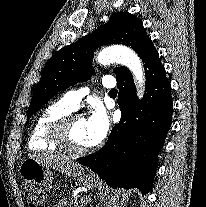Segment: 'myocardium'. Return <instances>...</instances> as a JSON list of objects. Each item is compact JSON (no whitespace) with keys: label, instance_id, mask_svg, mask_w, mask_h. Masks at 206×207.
I'll return each instance as SVG.
<instances>
[{"label":"myocardium","instance_id":"1","mask_svg":"<svg viewBox=\"0 0 206 207\" xmlns=\"http://www.w3.org/2000/svg\"><path fill=\"white\" fill-rule=\"evenodd\" d=\"M78 119H84V116L78 113H69L56 119L48 129L50 141L59 149L71 156H83L92 151L88 148H75L69 139L68 131L71 125Z\"/></svg>","mask_w":206,"mask_h":207}]
</instances>
